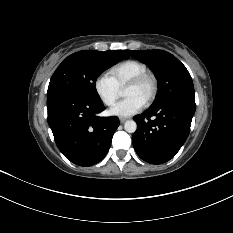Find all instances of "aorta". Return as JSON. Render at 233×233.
Returning a JSON list of instances; mask_svg holds the SVG:
<instances>
[{
  "mask_svg": "<svg viewBox=\"0 0 233 233\" xmlns=\"http://www.w3.org/2000/svg\"><path fill=\"white\" fill-rule=\"evenodd\" d=\"M124 129L128 133H134L137 129V124L134 120H128L124 124Z\"/></svg>",
  "mask_w": 233,
  "mask_h": 233,
  "instance_id": "762f6f07",
  "label": "aorta"
}]
</instances>
